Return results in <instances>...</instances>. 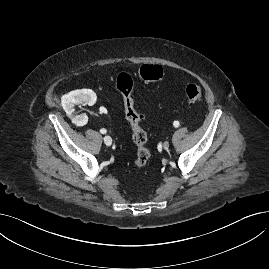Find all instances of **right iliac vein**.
<instances>
[{
  "instance_id": "obj_1",
  "label": "right iliac vein",
  "mask_w": 269,
  "mask_h": 269,
  "mask_svg": "<svg viewBox=\"0 0 269 269\" xmlns=\"http://www.w3.org/2000/svg\"><path fill=\"white\" fill-rule=\"evenodd\" d=\"M103 140H104V143H105L107 146H110V145L112 144V139H111L110 136H105V137L103 138Z\"/></svg>"
}]
</instances>
